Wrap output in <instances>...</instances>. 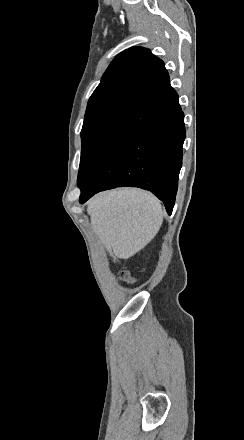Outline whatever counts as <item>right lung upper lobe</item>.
<instances>
[{
	"mask_svg": "<svg viewBox=\"0 0 244 440\" xmlns=\"http://www.w3.org/2000/svg\"><path fill=\"white\" fill-rule=\"evenodd\" d=\"M168 80L162 60L149 49L132 47L111 62L88 103L118 96L141 99Z\"/></svg>",
	"mask_w": 244,
	"mask_h": 440,
	"instance_id": "right-lung-upper-lobe-1",
	"label": "right lung upper lobe"
}]
</instances>
